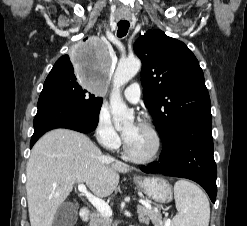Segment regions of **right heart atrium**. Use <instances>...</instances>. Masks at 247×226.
Masks as SVG:
<instances>
[{"instance_id": "right-heart-atrium-1", "label": "right heart atrium", "mask_w": 247, "mask_h": 226, "mask_svg": "<svg viewBox=\"0 0 247 226\" xmlns=\"http://www.w3.org/2000/svg\"><path fill=\"white\" fill-rule=\"evenodd\" d=\"M97 141L108 149H116L120 145V137L115 130L109 109L103 105L100 107L95 125Z\"/></svg>"}]
</instances>
